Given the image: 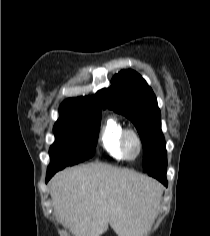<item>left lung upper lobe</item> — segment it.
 Here are the masks:
<instances>
[{"label":"left lung upper lobe","mask_w":210,"mask_h":236,"mask_svg":"<svg viewBox=\"0 0 210 236\" xmlns=\"http://www.w3.org/2000/svg\"><path fill=\"white\" fill-rule=\"evenodd\" d=\"M104 108L125 115L135 125L144 148L143 169L147 172L167 159L157 99L146 81L135 71L123 70L103 90Z\"/></svg>","instance_id":"5c2ea615"}]
</instances>
